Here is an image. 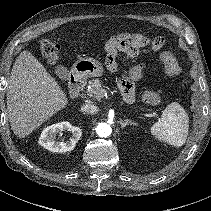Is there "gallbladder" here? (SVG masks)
I'll return each mask as SVG.
<instances>
[{"label":"gallbladder","instance_id":"gallbladder-1","mask_svg":"<svg viewBox=\"0 0 211 211\" xmlns=\"http://www.w3.org/2000/svg\"><path fill=\"white\" fill-rule=\"evenodd\" d=\"M66 71V69L63 66H58L55 70L57 75H60L61 73H64Z\"/></svg>","mask_w":211,"mask_h":211}]
</instances>
